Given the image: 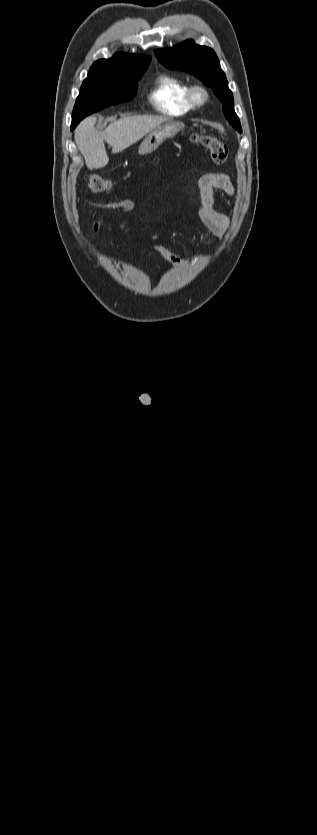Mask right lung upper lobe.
Returning <instances> with one entry per match:
<instances>
[{"label":"right lung upper lobe","mask_w":317,"mask_h":835,"mask_svg":"<svg viewBox=\"0 0 317 835\" xmlns=\"http://www.w3.org/2000/svg\"><path fill=\"white\" fill-rule=\"evenodd\" d=\"M150 56L116 53L110 59L97 60L91 67L88 76H95L116 71H131L149 64Z\"/></svg>","instance_id":"cb5924a9"}]
</instances>
